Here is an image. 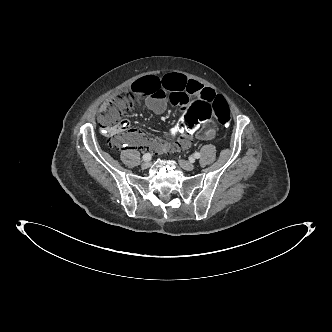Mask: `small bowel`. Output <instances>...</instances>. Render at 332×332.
Here are the masks:
<instances>
[{"mask_svg":"<svg viewBox=\"0 0 332 332\" xmlns=\"http://www.w3.org/2000/svg\"><path fill=\"white\" fill-rule=\"evenodd\" d=\"M130 89L135 92L138 97L145 99L147 107L156 114L163 113L167 109L168 103H172L181 108L186 100L194 96H203L207 98L211 104L215 97V93L212 89L205 87L198 81L190 80L180 73H167L163 76H141L133 80ZM123 94H126V92L118 96ZM106 106L107 104L102 107L98 116V120L103 126V113ZM118 129L121 133L122 144L128 149L144 146L153 148L158 152L163 150H176L186 147L190 139L185 138L182 142H173L170 145L163 146L157 141L147 137L140 130L130 127L127 120L121 121ZM214 136L215 128L211 120L203 133L193 137L200 140H211Z\"/></svg>","mask_w":332,"mask_h":332,"instance_id":"small-bowel-1","label":"small bowel"}]
</instances>
